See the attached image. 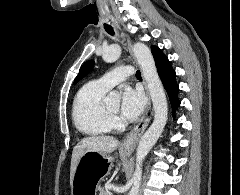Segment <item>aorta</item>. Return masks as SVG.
Returning <instances> with one entry per match:
<instances>
[{"label": "aorta", "instance_id": "obj_1", "mask_svg": "<svg viewBox=\"0 0 240 195\" xmlns=\"http://www.w3.org/2000/svg\"><path fill=\"white\" fill-rule=\"evenodd\" d=\"M132 50L141 68L143 78L146 80L147 88L154 107L153 123H151L147 131H145L138 143L136 167L131 179L132 187L128 193V195H138L142 179V161L145 159V155L149 153L154 143H156L157 139H159L166 125V121L168 119V105L165 92L157 74L155 62L149 48H147L145 44L137 42V44H134ZM120 56V46H118V44H112V46H109V48L104 50L102 58L104 62H116ZM109 96H113V94H109Z\"/></svg>", "mask_w": 240, "mask_h": 195}]
</instances>
